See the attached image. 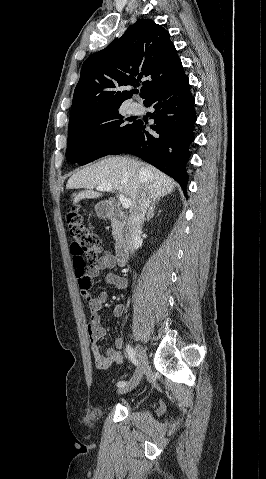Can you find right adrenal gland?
Returning a JSON list of instances; mask_svg holds the SVG:
<instances>
[{
  "instance_id": "2a0ac1e0",
  "label": "right adrenal gland",
  "mask_w": 266,
  "mask_h": 479,
  "mask_svg": "<svg viewBox=\"0 0 266 479\" xmlns=\"http://www.w3.org/2000/svg\"><path fill=\"white\" fill-rule=\"evenodd\" d=\"M159 199H153L150 205V208L148 210L147 216L144 221H149L153 216H154V210L156 208V205L158 204Z\"/></svg>"
}]
</instances>
